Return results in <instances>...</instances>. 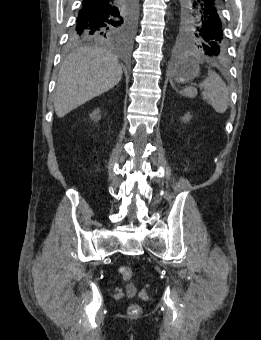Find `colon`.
I'll return each mask as SVG.
<instances>
[{
  "mask_svg": "<svg viewBox=\"0 0 261 340\" xmlns=\"http://www.w3.org/2000/svg\"><path fill=\"white\" fill-rule=\"evenodd\" d=\"M121 278L123 279V281L129 285H131L132 280H133V276H134V272L132 270L131 267L129 266H122L119 269ZM129 313L131 314H138L141 312V307L136 304V303H132L130 304L129 308H128Z\"/></svg>",
  "mask_w": 261,
  "mask_h": 340,
  "instance_id": "colon-1",
  "label": "colon"
}]
</instances>
